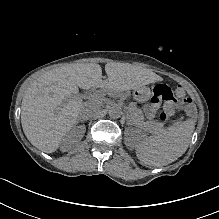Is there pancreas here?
I'll list each match as a JSON object with an SVG mask.
<instances>
[{
    "instance_id": "pancreas-1",
    "label": "pancreas",
    "mask_w": 219,
    "mask_h": 219,
    "mask_svg": "<svg viewBox=\"0 0 219 219\" xmlns=\"http://www.w3.org/2000/svg\"><path fill=\"white\" fill-rule=\"evenodd\" d=\"M127 113L128 115V122L132 123L136 126H143L145 129H147L151 133L158 132L162 130V126L160 123H157L155 121H145V118L143 117V112L139 109H137L136 105H128L127 106Z\"/></svg>"
}]
</instances>
